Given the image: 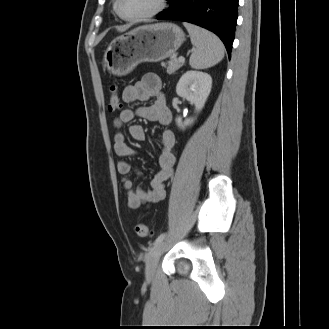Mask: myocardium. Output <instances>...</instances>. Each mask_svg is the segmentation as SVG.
I'll return each instance as SVG.
<instances>
[{
  "label": "myocardium",
  "instance_id": "f54148a6",
  "mask_svg": "<svg viewBox=\"0 0 329 329\" xmlns=\"http://www.w3.org/2000/svg\"><path fill=\"white\" fill-rule=\"evenodd\" d=\"M119 2H120V0H115L114 11L116 12V14L118 15L119 18H121L122 20H125V21H129V22H138V21L152 18V17L158 15L159 13H161L165 9L166 4H167V0H158L157 6L152 11H150L146 14H143V15L135 16V17H125L119 11Z\"/></svg>",
  "mask_w": 329,
  "mask_h": 329
}]
</instances>
